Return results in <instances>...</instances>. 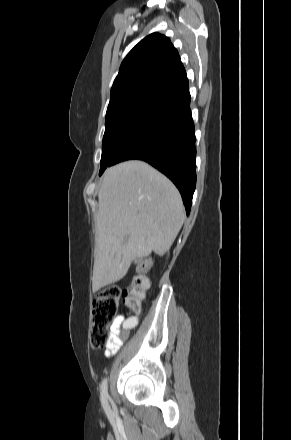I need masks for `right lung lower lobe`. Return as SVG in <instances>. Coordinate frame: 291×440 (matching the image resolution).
Instances as JSON below:
<instances>
[{
  "label": "right lung lower lobe",
  "instance_id": "1",
  "mask_svg": "<svg viewBox=\"0 0 291 440\" xmlns=\"http://www.w3.org/2000/svg\"><path fill=\"white\" fill-rule=\"evenodd\" d=\"M188 79L158 95L109 166L138 159L161 171L179 189L189 214L196 186V147Z\"/></svg>",
  "mask_w": 291,
  "mask_h": 440
}]
</instances>
